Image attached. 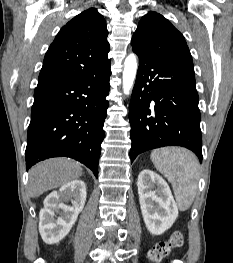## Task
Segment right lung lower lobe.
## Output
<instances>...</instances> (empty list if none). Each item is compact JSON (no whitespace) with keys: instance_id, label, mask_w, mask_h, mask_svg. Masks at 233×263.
Segmentation results:
<instances>
[{"instance_id":"98d812e1","label":"right lung lower lobe","mask_w":233,"mask_h":263,"mask_svg":"<svg viewBox=\"0 0 233 263\" xmlns=\"http://www.w3.org/2000/svg\"><path fill=\"white\" fill-rule=\"evenodd\" d=\"M110 74L109 60L86 77L35 88L25 152L27 170L41 160L66 156L85 164L98 177Z\"/></svg>"}]
</instances>
